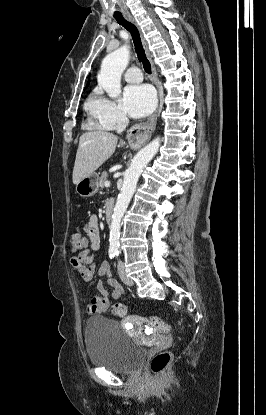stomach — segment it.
Listing matches in <instances>:
<instances>
[{
    "label": "stomach",
    "instance_id": "1",
    "mask_svg": "<svg viewBox=\"0 0 266 415\" xmlns=\"http://www.w3.org/2000/svg\"><path fill=\"white\" fill-rule=\"evenodd\" d=\"M98 181V174L92 173L91 175L83 178L78 184H76V193L84 198L93 196L98 191Z\"/></svg>",
    "mask_w": 266,
    "mask_h": 415
}]
</instances>
